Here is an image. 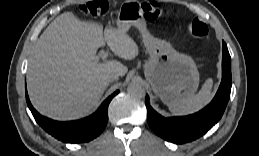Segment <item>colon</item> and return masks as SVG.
<instances>
[{
    "label": "colon",
    "mask_w": 259,
    "mask_h": 156,
    "mask_svg": "<svg viewBox=\"0 0 259 156\" xmlns=\"http://www.w3.org/2000/svg\"><path fill=\"white\" fill-rule=\"evenodd\" d=\"M80 13L90 17H100L105 15L109 10L107 0H94L82 4L78 7ZM145 16L148 20L153 21L159 18L161 10L156 3H146L144 6ZM189 32L196 38L204 39L208 35V27L201 20H194L188 26Z\"/></svg>",
    "instance_id": "1"
}]
</instances>
